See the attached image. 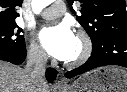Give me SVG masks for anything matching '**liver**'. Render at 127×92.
Masks as SVG:
<instances>
[{"mask_svg":"<svg viewBox=\"0 0 127 92\" xmlns=\"http://www.w3.org/2000/svg\"><path fill=\"white\" fill-rule=\"evenodd\" d=\"M0 92H51L48 84L38 86L30 74L18 66L0 61Z\"/></svg>","mask_w":127,"mask_h":92,"instance_id":"obj_1","label":"liver"}]
</instances>
